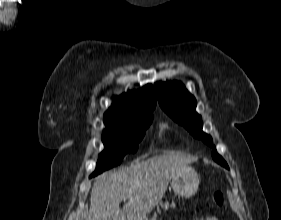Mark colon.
Listing matches in <instances>:
<instances>
[{
    "instance_id": "colon-1",
    "label": "colon",
    "mask_w": 281,
    "mask_h": 220,
    "mask_svg": "<svg viewBox=\"0 0 281 220\" xmlns=\"http://www.w3.org/2000/svg\"><path fill=\"white\" fill-rule=\"evenodd\" d=\"M213 200L218 206H222L224 203V196L221 191H216L213 195Z\"/></svg>"
}]
</instances>
